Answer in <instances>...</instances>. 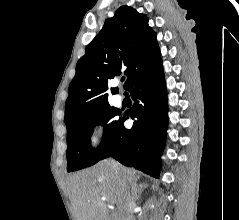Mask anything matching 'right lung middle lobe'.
<instances>
[{
  "instance_id": "right-lung-middle-lobe-1",
  "label": "right lung middle lobe",
  "mask_w": 239,
  "mask_h": 220,
  "mask_svg": "<svg viewBox=\"0 0 239 220\" xmlns=\"http://www.w3.org/2000/svg\"><path fill=\"white\" fill-rule=\"evenodd\" d=\"M117 112L110 105L96 109L81 116L67 128V171H77L96 164L103 151L113 138L118 121L111 119ZM103 125V138L100 146L93 149L91 135L93 127Z\"/></svg>"
}]
</instances>
